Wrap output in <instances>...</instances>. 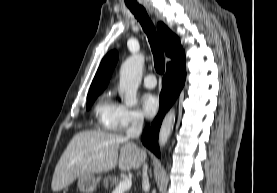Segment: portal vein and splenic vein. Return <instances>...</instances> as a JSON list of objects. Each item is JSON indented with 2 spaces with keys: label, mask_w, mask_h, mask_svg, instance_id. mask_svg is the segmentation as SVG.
I'll list each match as a JSON object with an SVG mask.
<instances>
[{
  "label": "portal vein and splenic vein",
  "mask_w": 277,
  "mask_h": 193,
  "mask_svg": "<svg viewBox=\"0 0 277 193\" xmlns=\"http://www.w3.org/2000/svg\"><path fill=\"white\" fill-rule=\"evenodd\" d=\"M132 186L131 178H124L120 183L117 185L113 193H123L129 190Z\"/></svg>",
  "instance_id": "portal-vein-and-splenic-vein-1"
}]
</instances>
